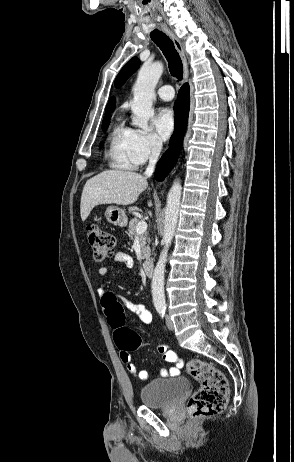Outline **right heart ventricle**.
Instances as JSON below:
<instances>
[{"label":"right heart ventricle","mask_w":294,"mask_h":462,"mask_svg":"<svg viewBox=\"0 0 294 462\" xmlns=\"http://www.w3.org/2000/svg\"><path fill=\"white\" fill-rule=\"evenodd\" d=\"M132 130L122 123L115 124L107 138L105 157L108 165L114 169L130 170L136 164L130 152Z\"/></svg>","instance_id":"obj_1"}]
</instances>
